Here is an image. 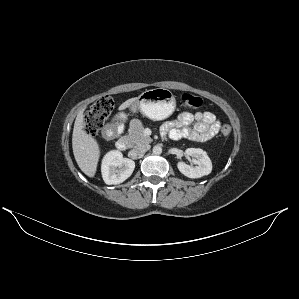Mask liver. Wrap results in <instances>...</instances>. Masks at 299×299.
Segmentation results:
<instances>
[{"instance_id":"obj_1","label":"liver","mask_w":299,"mask_h":299,"mask_svg":"<svg viewBox=\"0 0 299 299\" xmlns=\"http://www.w3.org/2000/svg\"><path fill=\"white\" fill-rule=\"evenodd\" d=\"M137 98H131L122 103L119 110H124L136 102ZM84 109H82L75 120L72 134V148L75 160L79 168L88 177H94L100 157V149L97 141L83 131Z\"/></svg>"}]
</instances>
